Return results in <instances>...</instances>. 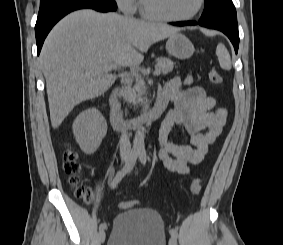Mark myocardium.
<instances>
[{
    "label": "myocardium",
    "mask_w": 283,
    "mask_h": 245,
    "mask_svg": "<svg viewBox=\"0 0 283 245\" xmlns=\"http://www.w3.org/2000/svg\"><path fill=\"white\" fill-rule=\"evenodd\" d=\"M204 4H205V0H198L196 8L191 13L185 16H180V17H169V16H164V15L157 14V13L150 11L145 4V0H140L141 12L144 17L150 20L161 21V22H171V23L184 22V21L191 20L203 9Z\"/></svg>",
    "instance_id": "f54148a6"
}]
</instances>
